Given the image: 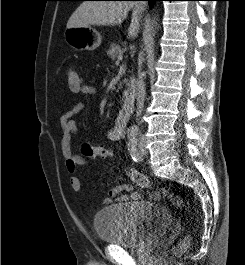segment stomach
<instances>
[{
	"label": "stomach",
	"mask_w": 245,
	"mask_h": 265,
	"mask_svg": "<svg viewBox=\"0 0 245 265\" xmlns=\"http://www.w3.org/2000/svg\"><path fill=\"white\" fill-rule=\"evenodd\" d=\"M66 43L76 51H93L101 44L100 33L91 27H76L64 32Z\"/></svg>",
	"instance_id": "stomach-1"
}]
</instances>
